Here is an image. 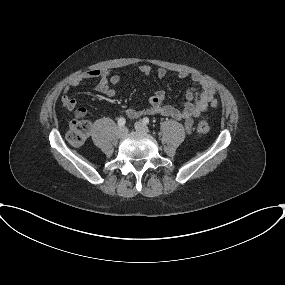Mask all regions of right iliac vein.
Wrapping results in <instances>:
<instances>
[{
  "label": "right iliac vein",
  "mask_w": 285,
  "mask_h": 285,
  "mask_svg": "<svg viewBox=\"0 0 285 285\" xmlns=\"http://www.w3.org/2000/svg\"><path fill=\"white\" fill-rule=\"evenodd\" d=\"M128 133V130L125 128V127H120L118 130H117V136L119 138H124Z\"/></svg>",
  "instance_id": "1"
}]
</instances>
